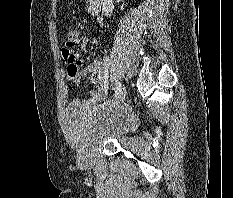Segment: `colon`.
I'll return each instance as SVG.
<instances>
[{"label": "colon", "instance_id": "5ec220e1", "mask_svg": "<svg viewBox=\"0 0 233 198\" xmlns=\"http://www.w3.org/2000/svg\"><path fill=\"white\" fill-rule=\"evenodd\" d=\"M79 33L76 30L68 29L64 32L65 46L74 47L79 43ZM97 77V75H96Z\"/></svg>", "mask_w": 233, "mask_h": 198}]
</instances>
